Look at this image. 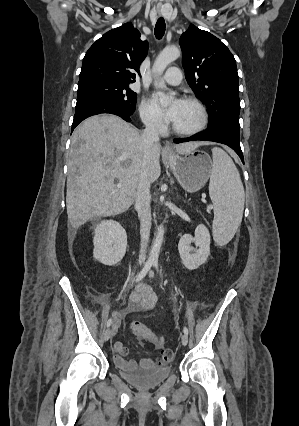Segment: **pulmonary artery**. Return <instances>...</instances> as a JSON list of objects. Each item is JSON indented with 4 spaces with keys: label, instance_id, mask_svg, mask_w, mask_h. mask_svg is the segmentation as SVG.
<instances>
[{
    "label": "pulmonary artery",
    "instance_id": "e3ab8cb5",
    "mask_svg": "<svg viewBox=\"0 0 299 426\" xmlns=\"http://www.w3.org/2000/svg\"><path fill=\"white\" fill-rule=\"evenodd\" d=\"M163 80L171 85H178L182 81V73L177 67H170L163 76Z\"/></svg>",
    "mask_w": 299,
    "mask_h": 426
}]
</instances>
